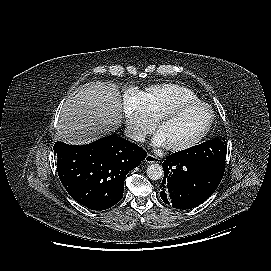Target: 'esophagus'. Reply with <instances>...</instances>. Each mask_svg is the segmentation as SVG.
Wrapping results in <instances>:
<instances>
[{
	"instance_id": "34e87169",
	"label": "esophagus",
	"mask_w": 271,
	"mask_h": 271,
	"mask_svg": "<svg viewBox=\"0 0 271 271\" xmlns=\"http://www.w3.org/2000/svg\"><path fill=\"white\" fill-rule=\"evenodd\" d=\"M145 161L147 163H159L160 162V159L154 155H151V154H147L146 158H145Z\"/></svg>"
}]
</instances>
